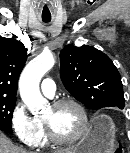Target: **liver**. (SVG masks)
I'll return each instance as SVG.
<instances>
[{
    "label": "liver",
    "instance_id": "liver-1",
    "mask_svg": "<svg viewBox=\"0 0 130 153\" xmlns=\"http://www.w3.org/2000/svg\"><path fill=\"white\" fill-rule=\"evenodd\" d=\"M74 150H63L59 153H72ZM0 153H27L24 149L15 146L6 135L0 131Z\"/></svg>",
    "mask_w": 130,
    "mask_h": 153
}]
</instances>
